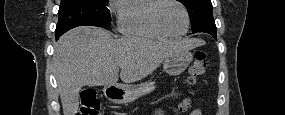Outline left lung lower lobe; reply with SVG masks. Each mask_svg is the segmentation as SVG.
<instances>
[{
  "label": "left lung lower lobe",
  "instance_id": "obj_1",
  "mask_svg": "<svg viewBox=\"0 0 285 115\" xmlns=\"http://www.w3.org/2000/svg\"><path fill=\"white\" fill-rule=\"evenodd\" d=\"M202 32L209 33L215 39H217V37H216V25H211V26L205 27Z\"/></svg>",
  "mask_w": 285,
  "mask_h": 115
}]
</instances>
